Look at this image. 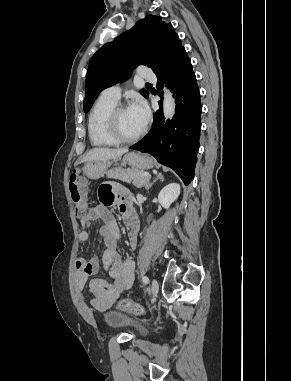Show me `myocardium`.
Here are the masks:
<instances>
[{
	"mask_svg": "<svg viewBox=\"0 0 291 381\" xmlns=\"http://www.w3.org/2000/svg\"><path fill=\"white\" fill-rule=\"evenodd\" d=\"M128 106L125 104H117L108 114L105 122V129L107 134L118 144H128V143H134L141 139L144 134L146 133V127L144 126L143 129L135 136L133 137H125L123 136L118 127V117L120 113L127 109Z\"/></svg>",
	"mask_w": 291,
	"mask_h": 381,
	"instance_id": "myocardium-1",
	"label": "myocardium"
}]
</instances>
